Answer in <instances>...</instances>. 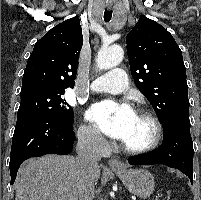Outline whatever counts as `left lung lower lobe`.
<instances>
[{"instance_id": "obj_1", "label": "left lung lower lobe", "mask_w": 201, "mask_h": 200, "mask_svg": "<svg viewBox=\"0 0 201 200\" xmlns=\"http://www.w3.org/2000/svg\"><path fill=\"white\" fill-rule=\"evenodd\" d=\"M163 143L155 151L128 159L131 165L164 164L177 168L187 175L193 184V143L190 120L176 119L163 127Z\"/></svg>"}]
</instances>
